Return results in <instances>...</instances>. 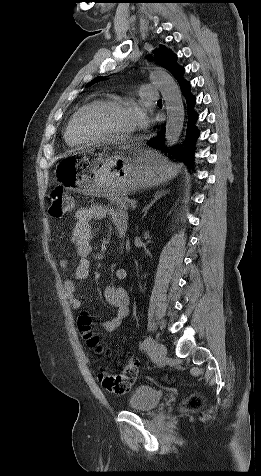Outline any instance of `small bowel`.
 <instances>
[{"mask_svg": "<svg viewBox=\"0 0 261 476\" xmlns=\"http://www.w3.org/2000/svg\"><path fill=\"white\" fill-rule=\"evenodd\" d=\"M110 217L114 227L120 235L127 231V215L124 212L109 208L103 205H94L81 208L76 212V222L71 230L67 254L60 262L63 271L69 269V253L73 250L79 256V262L73 272L64 281V293L71 307L80 310L84 300L76 294V281L84 280L90 273L89 256L92 252V239L94 236L93 221ZM117 280L123 281L127 278V271L124 268L116 270ZM106 302L116 310V314L110 320L102 322L101 326L108 332L115 331L120 327L122 321L129 314L130 299L127 291L116 285H108L104 289Z\"/></svg>", "mask_w": 261, "mask_h": 476, "instance_id": "obj_1", "label": "small bowel"}]
</instances>
